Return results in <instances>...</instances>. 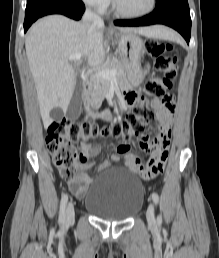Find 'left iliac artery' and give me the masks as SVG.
<instances>
[{
  "label": "left iliac artery",
  "mask_w": 219,
  "mask_h": 258,
  "mask_svg": "<svg viewBox=\"0 0 219 258\" xmlns=\"http://www.w3.org/2000/svg\"><path fill=\"white\" fill-rule=\"evenodd\" d=\"M152 199H153L154 203L157 205L159 202V195L156 192H153Z\"/></svg>",
  "instance_id": "1"
}]
</instances>
